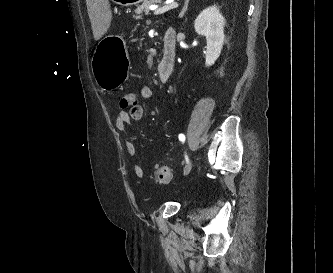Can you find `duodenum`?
Returning <instances> with one entry per match:
<instances>
[{"instance_id":"obj_1","label":"duodenum","mask_w":333,"mask_h":273,"mask_svg":"<svg viewBox=\"0 0 333 273\" xmlns=\"http://www.w3.org/2000/svg\"><path fill=\"white\" fill-rule=\"evenodd\" d=\"M176 33L168 29L163 39L162 56L157 66L159 81L166 83L169 81L175 66L176 59Z\"/></svg>"}]
</instances>
